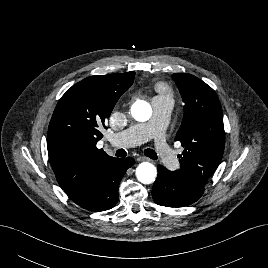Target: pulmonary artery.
Segmentation results:
<instances>
[{"label":"pulmonary artery","instance_id":"e3ab8cb5","mask_svg":"<svg viewBox=\"0 0 268 268\" xmlns=\"http://www.w3.org/2000/svg\"><path fill=\"white\" fill-rule=\"evenodd\" d=\"M153 118L148 122H141L129 127L122 134H113L110 136L112 146L130 147L151 138H154V151L168 167H174L178 159L174 155L163 137V129L171 113V104L169 101L155 97L151 100Z\"/></svg>","mask_w":268,"mask_h":268}]
</instances>
